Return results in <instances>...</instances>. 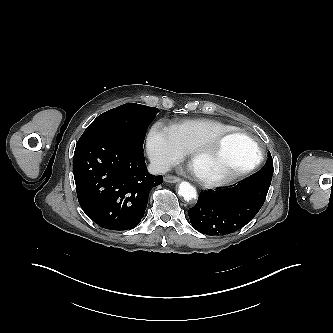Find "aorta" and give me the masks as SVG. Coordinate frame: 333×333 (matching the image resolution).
Segmentation results:
<instances>
[{
    "label": "aorta",
    "instance_id": "aorta-1",
    "mask_svg": "<svg viewBox=\"0 0 333 333\" xmlns=\"http://www.w3.org/2000/svg\"><path fill=\"white\" fill-rule=\"evenodd\" d=\"M178 193L186 201L196 199V197H197V191H196L195 187L185 181H183L179 184Z\"/></svg>",
    "mask_w": 333,
    "mask_h": 333
}]
</instances>
